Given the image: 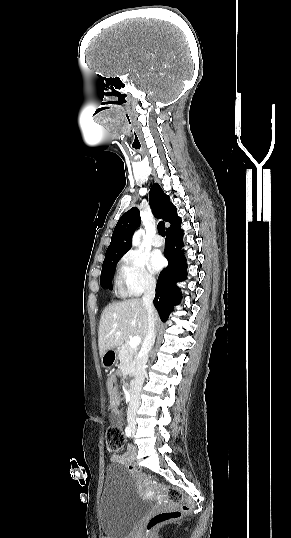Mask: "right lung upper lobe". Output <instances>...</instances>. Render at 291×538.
<instances>
[{
	"mask_svg": "<svg viewBox=\"0 0 291 538\" xmlns=\"http://www.w3.org/2000/svg\"><path fill=\"white\" fill-rule=\"evenodd\" d=\"M149 203L153 214L157 218H162L171 224L166 231L181 224V218L177 215L176 207L170 202V197L163 192L158 183L153 184L151 187ZM139 225L140 214L138 208L133 207L121 216L114 229L104 262L121 258L130 250L132 235Z\"/></svg>",
	"mask_w": 291,
	"mask_h": 538,
	"instance_id": "1",
	"label": "right lung upper lobe"
}]
</instances>
